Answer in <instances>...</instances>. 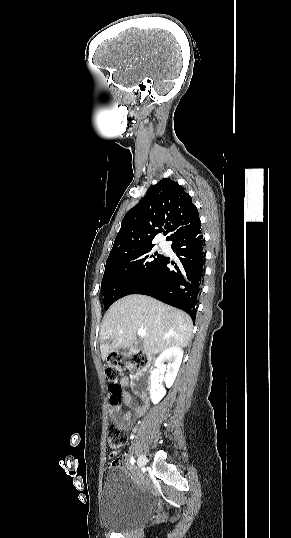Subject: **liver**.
<instances>
[{
    "mask_svg": "<svg viewBox=\"0 0 291 538\" xmlns=\"http://www.w3.org/2000/svg\"><path fill=\"white\" fill-rule=\"evenodd\" d=\"M192 327L190 316L181 310L149 296H126L115 302L104 316L100 331L102 359L133 346L139 329L146 330L143 346L148 353H160L172 346L184 348L191 339ZM107 340L112 343H105Z\"/></svg>",
    "mask_w": 291,
    "mask_h": 538,
    "instance_id": "6515ba94",
    "label": "liver"
}]
</instances>
